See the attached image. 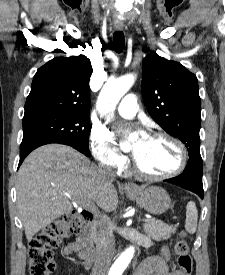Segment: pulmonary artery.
I'll return each instance as SVG.
<instances>
[{
    "label": "pulmonary artery",
    "mask_w": 225,
    "mask_h": 275,
    "mask_svg": "<svg viewBox=\"0 0 225 275\" xmlns=\"http://www.w3.org/2000/svg\"><path fill=\"white\" fill-rule=\"evenodd\" d=\"M117 110L122 117H134L138 111L136 96L134 94L126 95L119 103Z\"/></svg>",
    "instance_id": "1"
}]
</instances>
